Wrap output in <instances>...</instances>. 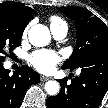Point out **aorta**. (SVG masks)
Segmentation results:
<instances>
[{
  "label": "aorta",
  "mask_w": 108,
  "mask_h": 108,
  "mask_svg": "<svg viewBox=\"0 0 108 108\" xmlns=\"http://www.w3.org/2000/svg\"><path fill=\"white\" fill-rule=\"evenodd\" d=\"M28 39L33 46H46L51 40L50 31L46 26L42 24H36L29 29ZM45 90L49 95L54 96L58 94L60 90L59 83L57 81L50 80L46 82Z\"/></svg>",
  "instance_id": "1"
}]
</instances>
